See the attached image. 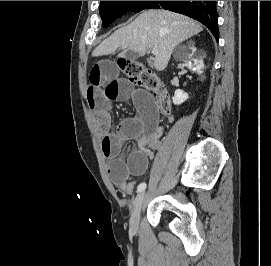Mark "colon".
I'll use <instances>...</instances> for the list:
<instances>
[{
    "instance_id": "5ec220e1",
    "label": "colon",
    "mask_w": 271,
    "mask_h": 266,
    "mask_svg": "<svg viewBox=\"0 0 271 266\" xmlns=\"http://www.w3.org/2000/svg\"><path fill=\"white\" fill-rule=\"evenodd\" d=\"M117 66L130 82L151 92L157 109L165 116H170L171 104L167 88L154 71L139 61L124 58L117 61Z\"/></svg>"
}]
</instances>
